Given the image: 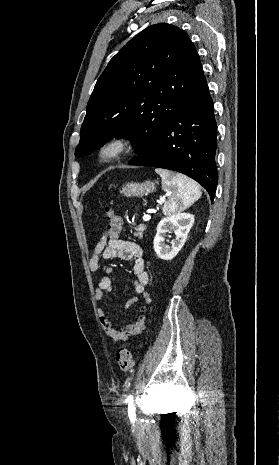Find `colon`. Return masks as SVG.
I'll use <instances>...</instances> for the list:
<instances>
[{
	"label": "colon",
	"mask_w": 279,
	"mask_h": 465,
	"mask_svg": "<svg viewBox=\"0 0 279 465\" xmlns=\"http://www.w3.org/2000/svg\"><path fill=\"white\" fill-rule=\"evenodd\" d=\"M105 214L109 219V224L107 227V234L110 238H116L120 234L123 226V219L121 216L117 215L109 206L105 208ZM116 360L118 366L123 371H129L133 368L134 360L131 351L122 347L117 351Z\"/></svg>",
	"instance_id": "colon-1"
}]
</instances>
